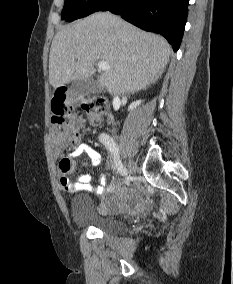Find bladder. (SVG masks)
<instances>
[{"label":"bladder","mask_w":233,"mask_h":284,"mask_svg":"<svg viewBox=\"0 0 233 284\" xmlns=\"http://www.w3.org/2000/svg\"><path fill=\"white\" fill-rule=\"evenodd\" d=\"M110 197L117 203H133L136 200L135 194L130 190ZM70 212L73 222L78 226L92 227L107 235H120L127 230L123 220L100 215L92 199L86 194H77L72 198Z\"/></svg>","instance_id":"1"}]
</instances>
